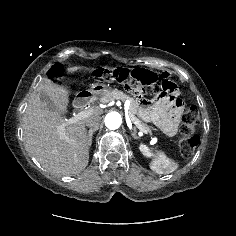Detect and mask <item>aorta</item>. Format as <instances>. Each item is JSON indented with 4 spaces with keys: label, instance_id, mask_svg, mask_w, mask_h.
Segmentation results:
<instances>
[{
    "label": "aorta",
    "instance_id": "obj_1",
    "mask_svg": "<svg viewBox=\"0 0 236 236\" xmlns=\"http://www.w3.org/2000/svg\"><path fill=\"white\" fill-rule=\"evenodd\" d=\"M122 117L118 112H110L105 117V125L111 130L118 129L121 126Z\"/></svg>",
    "mask_w": 236,
    "mask_h": 236
}]
</instances>
